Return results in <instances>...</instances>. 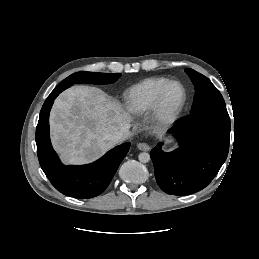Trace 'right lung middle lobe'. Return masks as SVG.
<instances>
[{"label": "right lung middle lobe", "mask_w": 259, "mask_h": 259, "mask_svg": "<svg viewBox=\"0 0 259 259\" xmlns=\"http://www.w3.org/2000/svg\"><path fill=\"white\" fill-rule=\"evenodd\" d=\"M120 77V74L114 73H96V72H77L59 83L54 92L61 93L74 83H93V84H109L115 82Z\"/></svg>", "instance_id": "obj_1"}]
</instances>
